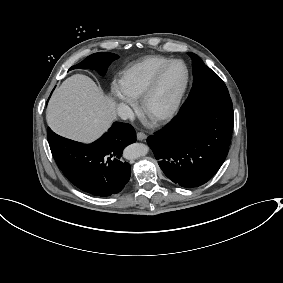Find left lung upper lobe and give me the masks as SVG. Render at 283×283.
Listing matches in <instances>:
<instances>
[{"instance_id": "left-lung-upper-lobe-1", "label": "left lung upper lobe", "mask_w": 283, "mask_h": 283, "mask_svg": "<svg viewBox=\"0 0 283 283\" xmlns=\"http://www.w3.org/2000/svg\"><path fill=\"white\" fill-rule=\"evenodd\" d=\"M192 58L193 87L182 105L180 111H184L194 105L212 97H227L228 90L221 78L208 68L203 61L194 53H188Z\"/></svg>"}]
</instances>
